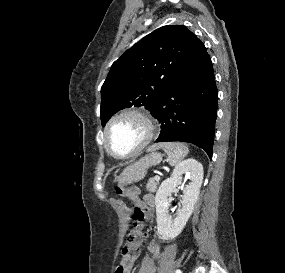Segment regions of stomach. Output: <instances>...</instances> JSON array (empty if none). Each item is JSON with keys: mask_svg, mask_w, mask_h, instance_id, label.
Listing matches in <instances>:
<instances>
[{"mask_svg": "<svg viewBox=\"0 0 285 273\" xmlns=\"http://www.w3.org/2000/svg\"><path fill=\"white\" fill-rule=\"evenodd\" d=\"M162 161V155L158 152H152L139 161L126 167L118 177V182L121 186L139 182L147 174V170L151 166L158 165Z\"/></svg>", "mask_w": 285, "mask_h": 273, "instance_id": "stomach-1", "label": "stomach"}]
</instances>
